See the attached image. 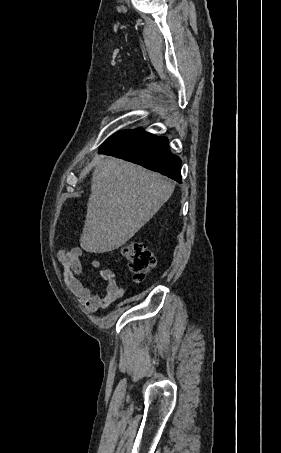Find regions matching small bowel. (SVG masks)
<instances>
[{
    "instance_id": "c3829d8e",
    "label": "small bowel",
    "mask_w": 281,
    "mask_h": 453,
    "mask_svg": "<svg viewBox=\"0 0 281 453\" xmlns=\"http://www.w3.org/2000/svg\"><path fill=\"white\" fill-rule=\"evenodd\" d=\"M81 256L82 252L79 249L62 251L58 255V261L64 268L68 285L86 304L87 311L93 313L121 297L125 292V285L120 279H116L114 271L110 268H101L98 276L106 282V286L101 295L95 294L93 285L79 278L82 270ZM91 265L95 268L101 267L97 259H92Z\"/></svg>"
}]
</instances>
